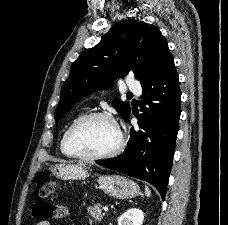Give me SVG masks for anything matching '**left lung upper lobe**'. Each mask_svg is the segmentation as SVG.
<instances>
[{"instance_id":"5c2ea615","label":"left lung upper lobe","mask_w":228,"mask_h":225,"mask_svg":"<svg viewBox=\"0 0 228 225\" xmlns=\"http://www.w3.org/2000/svg\"><path fill=\"white\" fill-rule=\"evenodd\" d=\"M160 30L148 23L125 20L114 25L95 47L84 51L72 64L61 89L55 121L83 96L108 88L113 80L133 72L141 84L153 78L170 55ZM113 106L126 120L130 105L115 98Z\"/></svg>"}]
</instances>
